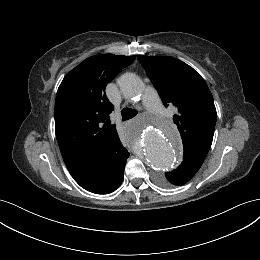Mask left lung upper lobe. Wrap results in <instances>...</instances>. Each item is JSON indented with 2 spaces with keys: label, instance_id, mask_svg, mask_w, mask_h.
Here are the masks:
<instances>
[{
  "label": "left lung upper lobe",
  "instance_id": "5c2ea615",
  "mask_svg": "<svg viewBox=\"0 0 260 260\" xmlns=\"http://www.w3.org/2000/svg\"><path fill=\"white\" fill-rule=\"evenodd\" d=\"M138 59L148 77L158 90L165 106L177 108L173 121L178 127L183 142L182 164L201 167L212 144L216 124V108L205 80L186 63L170 57ZM163 186L171 187L165 177Z\"/></svg>",
  "mask_w": 260,
  "mask_h": 260
}]
</instances>
